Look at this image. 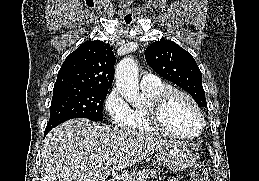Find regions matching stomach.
I'll return each mask as SVG.
<instances>
[{"label": "stomach", "mask_w": 259, "mask_h": 181, "mask_svg": "<svg viewBox=\"0 0 259 181\" xmlns=\"http://www.w3.org/2000/svg\"><path fill=\"white\" fill-rule=\"evenodd\" d=\"M156 161L161 166L177 172L190 168L195 162V155L183 144L173 142L157 153Z\"/></svg>", "instance_id": "stomach-1"}]
</instances>
